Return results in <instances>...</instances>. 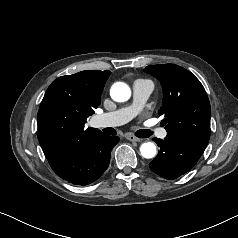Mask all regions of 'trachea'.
Here are the masks:
<instances>
[{"instance_id":"1","label":"trachea","mask_w":238,"mask_h":238,"mask_svg":"<svg viewBox=\"0 0 238 238\" xmlns=\"http://www.w3.org/2000/svg\"><path fill=\"white\" fill-rule=\"evenodd\" d=\"M152 135V132L147 129H141L136 132V136L139 138H147Z\"/></svg>"}]
</instances>
